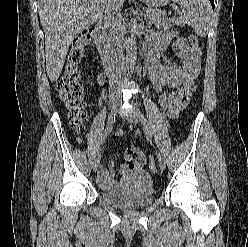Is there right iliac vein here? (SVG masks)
Here are the masks:
<instances>
[{"mask_svg": "<svg viewBox=\"0 0 248 247\" xmlns=\"http://www.w3.org/2000/svg\"><path fill=\"white\" fill-rule=\"evenodd\" d=\"M120 99L118 96L112 97L110 99V108H111V112L115 111L118 103H119ZM100 161H101V153L98 152L93 160V171L96 172L99 168L100 165Z\"/></svg>", "mask_w": 248, "mask_h": 247, "instance_id": "63e3f726", "label": "right iliac vein"}]
</instances>
